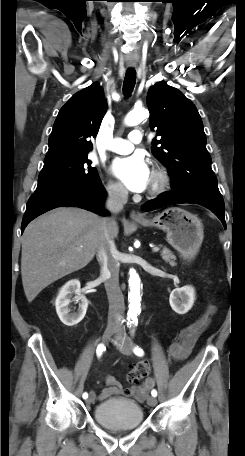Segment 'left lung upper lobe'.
<instances>
[{
    "instance_id": "1",
    "label": "left lung upper lobe",
    "mask_w": 245,
    "mask_h": 456,
    "mask_svg": "<svg viewBox=\"0 0 245 456\" xmlns=\"http://www.w3.org/2000/svg\"><path fill=\"white\" fill-rule=\"evenodd\" d=\"M147 105L150 128L160 136L151 151L169 170L172 190L220 194L195 105L164 81L149 89Z\"/></svg>"
}]
</instances>
